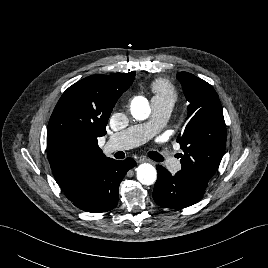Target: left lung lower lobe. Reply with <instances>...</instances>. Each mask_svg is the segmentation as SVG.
I'll list each match as a JSON object with an SVG mask.
<instances>
[{"instance_id": "left-lung-lower-lobe-1", "label": "left lung lower lobe", "mask_w": 268, "mask_h": 268, "mask_svg": "<svg viewBox=\"0 0 268 268\" xmlns=\"http://www.w3.org/2000/svg\"><path fill=\"white\" fill-rule=\"evenodd\" d=\"M156 168L158 178L153 198L159 206L182 209L198 202L205 193V186L198 184L182 172L172 175L160 165Z\"/></svg>"}]
</instances>
